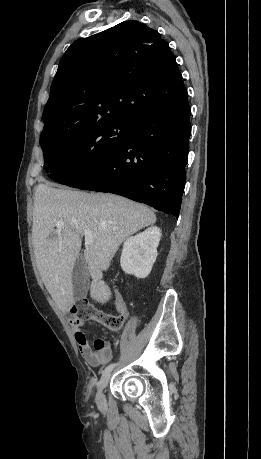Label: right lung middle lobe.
I'll return each mask as SVG.
<instances>
[{
	"instance_id": "right-lung-middle-lobe-1",
	"label": "right lung middle lobe",
	"mask_w": 261,
	"mask_h": 459,
	"mask_svg": "<svg viewBox=\"0 0 261 459\" xmlns=\"http://www.w3.org/2000/svg\"><path fill=\"white\" fill-rule=\"evenodd\" d=\"M134 122L111 120L83 129L42 133L44 168L49 177L69 185L108 160L127 142Z\"/></svg>"
}]
</instances>
